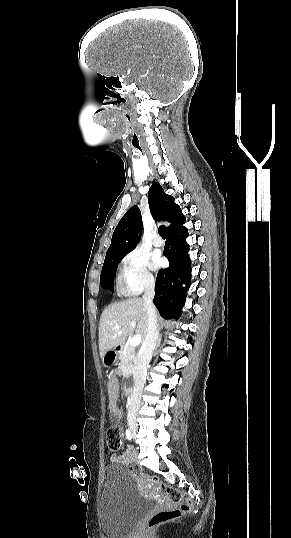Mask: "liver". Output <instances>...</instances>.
<instances>
[{"label": "liver", "instance_id": "1", "mask_svg": "<svg viewBox=\"0 0 291 538\" xmlns=\"http://www.w3.org/2000/svg\"><path fill=\"white\" fill-rule=\"evenodd\" d=\"M131 323H135V326H131ZM147 325V311L142 298H129L110 304L100 317V357L102 358L106 351L122 345L134 332L144 340Z\"/></svg>", "mask_w": 291, "mask_h": 538}]
</instances>
